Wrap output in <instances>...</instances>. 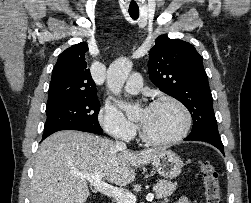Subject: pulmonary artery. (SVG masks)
<instances>
[{"instance_id":"e3ab8cb5","label":"pulmonary artery","mask_w":251,"mask_h":203,"mask_svg":"<svg viewBox=\"0 0 251 203\" xmlns=\"http://www.w3.org/2000/svg\"><path fill=\"white\" fill-rule=\"evenodd\" d=\"M142 83V76L140 74H133L128 78L124 89L128 93L135 94L141 90Z\"/></svg>"}]
</instances>
